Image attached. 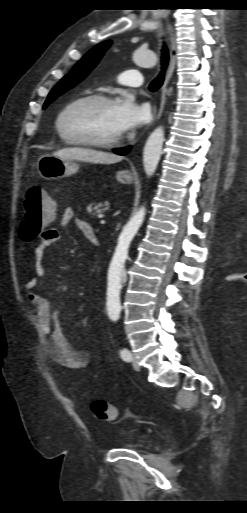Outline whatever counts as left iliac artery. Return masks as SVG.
<instances>
[{"instance_id": "44dca946", "label": "left iliac artery", "mask_w": 247, "mask_h": 513, "mask_svg": "<svg viewBox=\"0 0 247 513\" xmlns=\"http://www.w3.org/2000/svg\"><path fill=\"white\" fill-rule=\"evenodd\" d=\"M120 356L126 362H130L131 361V353H130V351L127 348H122L120 350Z\"/></svg>"}]
</instances>
